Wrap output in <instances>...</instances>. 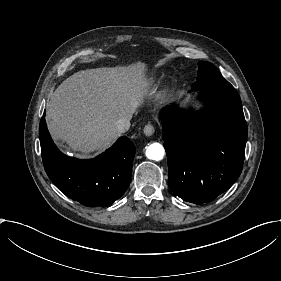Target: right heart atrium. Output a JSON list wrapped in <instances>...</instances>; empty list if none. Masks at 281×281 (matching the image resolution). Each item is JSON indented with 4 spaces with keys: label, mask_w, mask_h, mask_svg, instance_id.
Returning <instances> with one entry per match:
<instances>
[{
    "label": "right heart atrium",
    "mask_w": 281,
    "mask_h": 281,
    "mask_svg": "<svg viewBox=\"0 0 281 281\" xmlns=\"http://www.w3.org/2000/svg\"><path fill=\"white\" fill-rule=\"evenodd\" d=\"M125 115V110L123 105L119 101H115L109 113V118L111 120H119Z\"/></svg>",
    "instance_id": "1"
}]
</instances>
